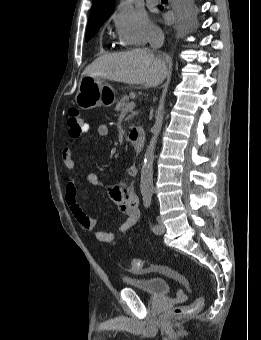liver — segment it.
I'll list each match as a JSON object with an SVG mask.
<instances>
[{"label": "liver", "instance_id": "1", "mask_svg": "<svg viewBox=\"0 0 261 340\" xmlns=\"http://www.w3.org/2000/svg\"><path fill=\"white\" fill-rule=\"evenodd\" d=\"M166 74V61L140 48L102 55L83 72V76L90 75L126 84L144 85L145 88L157 87L163 82Z\"/></svg>", "mask_w": 261, "mask_h": 340}]
</instances>
